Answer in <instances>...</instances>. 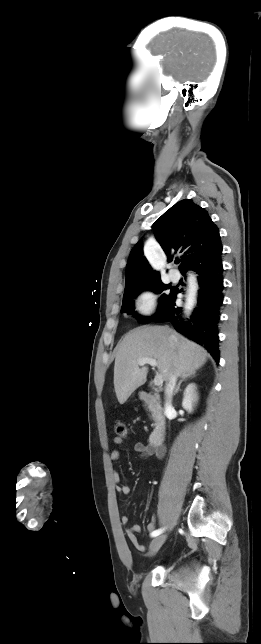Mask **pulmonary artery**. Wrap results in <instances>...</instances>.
<instances>
[{
    "label": "pulmonary artery",
    "instance_id": "pulmonary-artery-1",
    "mask_svg": "<svg viewBox=\"0 0 261 644\" xmlns=\"http://www.w3.org/2000/svg\"><path fill=\"white\" fill-rule=\"evenodd\" d=\"M169 277L173 282H177L179 280V274L174 270L169 272Z\"/></svg>",
    "mask_w": 261,
    "mask_h": 644
}]
</instances>
